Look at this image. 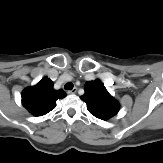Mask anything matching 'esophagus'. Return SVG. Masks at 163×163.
I'll list each match as a JSON object with an SVG mask.
<instances>
[{"label": "esophagus", "instance_id": "obj_1", "mask_svg": "<svg viewBox=\"0 0 163 163\" xmlns=\"http://www.w3.org/2000/svg\"><path fill=\"white\" fill-rule=\"evenodd\" d=\"M77 92V88H73L72 90H68V94H75Z\"/></svg>", "mask_w": 163, "mask_h": 163}]
</instances>
